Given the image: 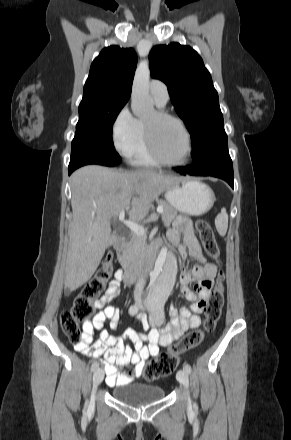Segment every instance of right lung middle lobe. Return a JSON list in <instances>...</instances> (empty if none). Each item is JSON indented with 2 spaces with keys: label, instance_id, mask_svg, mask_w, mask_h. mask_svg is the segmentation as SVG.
Listing matches in <instances>:
<instances>
[{
  "label": "right lung middle lobe",
  "instance_id": "dd1d6c3e",
  "mask_svg": "<svg viewBox=\"0 0 291 440\" xmlns=\"http://www.w3.org/2000/svg\"><path fill=\"white\" fill-rule=\"evenodd\" d=\"M125 103L94 102L79 105V121L71 145V158L90 156L113 165L121 162L112 140V126Z\"/></svg>",
  "mask_w": 291,
  "mask_h": 440
}]
</instances>
